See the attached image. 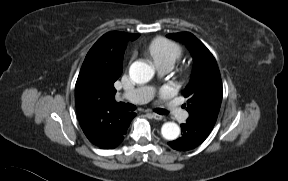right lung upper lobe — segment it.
<instances>
[{"label":"right lung upper lobe","mask_w":288,"mask_h":181,"mask_svg":"<svg viewBox=\"0 0 288 181\" xmlns=\"http://www.w3.org/2000/svg\"><path fill=\"white\" fill-rule=\"evenodd\" d=\"M138 37L118 31L103 35L87 53L76 82L80 126L90 142L103 149L118 146L127 126L129 112L116 106L114 82L122 73L127 42Z\"/></svg>","instance_id":"obj_1"}]
</instances>
